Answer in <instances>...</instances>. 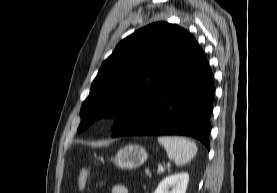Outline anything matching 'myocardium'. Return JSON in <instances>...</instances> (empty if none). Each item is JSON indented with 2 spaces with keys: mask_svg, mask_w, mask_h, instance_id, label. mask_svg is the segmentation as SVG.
<instances>
[{
  "mask_svg": "<svg viewBox=\"0 0 277 193\" xmlns=\"http://www.w3.org/2000/svg\"><path fill=\"white\" fill-rule=\"evenodd\" d=\"M109 119L108 118H105L104 121H108Z\"/></svg>",
  "mask_w": 277,
  "mask_h": 193,
  "instance_id": "myocardium-1",
  "label": "myocardium"
}]
</instances>
